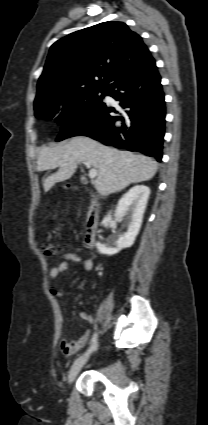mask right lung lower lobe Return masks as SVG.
<instances>
[{
    "instance_id": "98d812e1",
    "label": "right lung lower lobe",
    "mask_w": 208,
    "mask_h": 425,
    "mask_svg": "<svg viewBox=\"0 0 208 425\" xmlns=\"http://www.w3.org/2000/svg\"><path fill=\"white\" fill-rule=\"evenodd\" d=\"M155 60L146 55L122 70L107 86L106 94L124 109L101 103L63 123L57 138L88 136L107 146L124 148L162 158L165 101Z\"/></svg>"
}]
</instances>
